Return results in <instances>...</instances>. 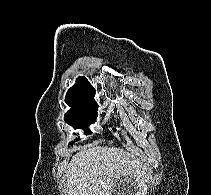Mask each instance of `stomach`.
<instances>
[{"label": "stomach", "instance_id": "0dacf381", "mask_svg": "<svg viewBox=\"0 0 211 195\" xmlns=\"http://www.w3.org/2000/svg\"><path fill=\"white\" fill-rule=\"evenodd\" d=\"M127 185H133V186H136V183H134L132 181L131 178L129 177H124V178H120L119 180H117L115 182V187L116 188H121L122 186H127ZM117 195H127L126 194V191H118V194Z\"/></svg>", "mask_w": 211, "mask_h": 195}]
</instances>
